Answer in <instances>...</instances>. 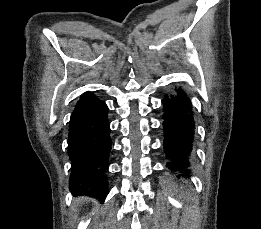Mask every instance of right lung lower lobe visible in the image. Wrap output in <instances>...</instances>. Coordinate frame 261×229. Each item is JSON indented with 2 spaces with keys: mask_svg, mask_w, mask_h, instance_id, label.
<instances>
[{
  "mask_svg": "<svg viewBox=\"0 0 261 229\" xmlns=\"http://www.w3.org/2000/svg\"><path fill=\"white\" fill-rule=\"evenodd\" d=\"M108 107L91 92L77 102L69 121V188L74 195L103 201L108 194L107 170L111 150Z\"/></svg>",
  "mask_w": 261,
  "mask_h": 229,
  "instance_id": "1",
  "label": "right lung lower lobe"
}]
</instances>
